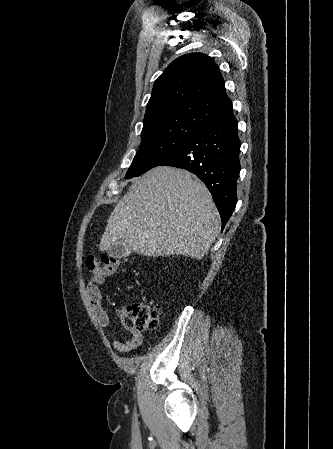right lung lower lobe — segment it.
Segmentation results:
<instances>
[{"label": "right lung lower lobe", "instance_id": "1", "mask_svg": "<svg viewBox=\"0 0 333 449\" xmlns=\"http://www.w3.org/2000/svg\"><path fill=\"white\" fill-rule=\"evenodd\" d=\"M240 145L238 121L232 112L201 128L156 165L183 168L200 178L213 196L222 230L237 202Z\"/></svg>", "mask_w": 333, "mask_h": 449}]
</instances>
